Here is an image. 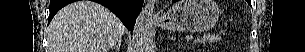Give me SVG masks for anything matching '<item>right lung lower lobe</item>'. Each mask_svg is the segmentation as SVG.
I'll return each mask as SVG.
<instances>
[{
	"label": "right lung lower lobe",
	"instance_id": "1",
	"mask_svg": "<svg viewBox=\"0 0 305 52\" xmlns=\"http://www.w3.org/2000/svg\"><path fill=\"white\" fill-rule=\"evenodd\" d=\"M75 0H51L48 23L54 15L65 5ZM110 9L125 25L128 30H133L136 17L142 9L143 0H91Z\"/></svg>",
	"mask_w": 305,
	"mask_h": 52
}]
</instances>
